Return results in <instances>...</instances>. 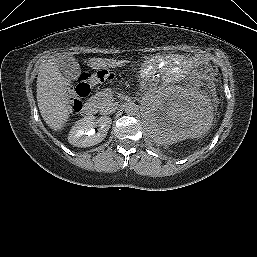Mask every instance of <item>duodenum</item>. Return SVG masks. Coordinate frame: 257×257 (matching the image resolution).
Wrapping results in <instances>:
<instances>
[{
  "label": "duodenum",
  "instance_id": "obj_1",
  "mask_svg": "<svg viewBox=\"0 0 257 257\" xmlns=\"http://www.w3.org/2000/svg\"><path fill=\"white\" fill-rule=\"evenodd\" d=\"M82 113L86 117H92L96 113V106L93 102H86L82 108Z\"/></svg>",
  "mask_w": 257,
  "mask_h": 257
}]
</instances>
